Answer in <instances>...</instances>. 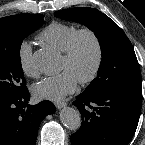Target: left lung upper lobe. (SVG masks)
<instances>
[{
	"label": "left lung upper lobe",
	"mask_w": 145,
	"mask_h": 145,
	"mask_svg": "<svg viewBox=\"0 0 145 145\" xmlns=\"http://www.w3.org/2000/svg\"><path fill=\"white\" fill-rule=\"evenodd\" d=\"M54 15L86 25L100 43L102 61L97 77L84 92L101 94L118 88L142 85L133 46L123 30L108 16L89 7L59 10Z\"/></svg>",
	"instance_id": "obj_1"
}]
</instances>
